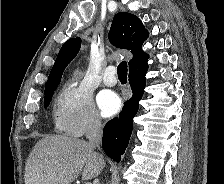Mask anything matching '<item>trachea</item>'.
Instances as JSON below:
<instances>
[{
    "instance_id": "3493384b",
    "label": "trachea",
    "mask_w": 224,
    "mask_h": 184,
    "mask_svg": "<svg viewBox=\"0 0 224 184\" xmlns=\"http://www.w3.org/2000/svg\"><path fill=\"white\" fill-rule=\"evenodd\" d=\"M117 74L119 79L127 80V62L122 61L117 68Z\"/></svg>"
}]
</instances>
